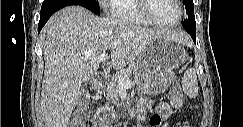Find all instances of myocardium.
Wrapping results in <instances>:
<instances>
[{
    "instance_id": "1",
    "label": "myocardium",
    "mask_w": 243,
    "mask_h": 127,
    "mask_svg": "<svg viewBox=\"0 0 243 127\" xmlns=\"http://www.w3.org/2000/svg\"><path fill=\"white\" fill-rule=\"evenodd\" d=\"M148 1L149 0H139L138 3H139V9H140L141 14L150 23H152L153 25L159 26V27H163V28H174L181 24L183 17H184V7H183L181 0H175L178 5V8H179L180 15H179L178 20L174 23H163V22L159 21L158 19H156L150 11Z\"/></svg>"
}]
</instances>
